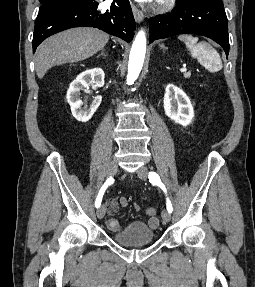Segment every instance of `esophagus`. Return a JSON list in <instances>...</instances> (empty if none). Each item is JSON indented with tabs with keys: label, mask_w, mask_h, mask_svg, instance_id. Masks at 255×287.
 <instances>
[{
	"label": "esophagus",
	"mask_w": 255,
	"mask_h": 287,
	"mask_svg": "<svg viewBox=\"0 0 255 287\" xmlns=\"http://www.w3.org/2000/svg\"><path fill=\"white\" fill-rule=\"evenodd\" d=\"M131 8L136 22L141 23L144 18L143 12L139 10L133 3H131Z\"/></svg>",
	"instance_id": "34e87169"
}]
</instances>
